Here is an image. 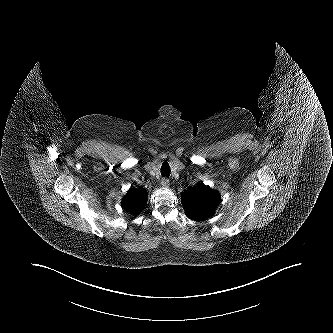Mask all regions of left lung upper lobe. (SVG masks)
Returning a JSON list of instances; mask_svg holds the SVG:
<instances>
[{
    "label": "left lung upper lobe",
    "mask_w": 333,
    "mask_h": 333,
    "mask_svg": "<svg viewBox=\"0 0 333 333\" xmlns=\"http://www.w3.org/2000/svg\"><path fill=\"white\" fill-rule=\"evenodd\" d=\"M181 203L190 219L203 221L215 213L220 194L202 183L182 193Z\"/></svg>",
    "instance_id": "obj_1"
}]
</instances>
